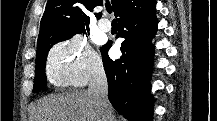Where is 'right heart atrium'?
Here are the masks:
<instances>
[{"label":"right heart atrium","instance_id":"right-heart-atrium-1","mask_svg":"<svg viewBox=\"0 0 217 121\" xmlns=\"http://www.w3.org/2000/svg\"><path fill=\"white\" fill-rule=\"evenodd\" d=\"M46 74L54 86L81 87L103 74V64L100 56L81 38L73 37L51 49Z\"/></svg>","mask_w":217,"mask_h":121}]
</instances>
